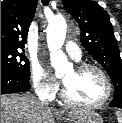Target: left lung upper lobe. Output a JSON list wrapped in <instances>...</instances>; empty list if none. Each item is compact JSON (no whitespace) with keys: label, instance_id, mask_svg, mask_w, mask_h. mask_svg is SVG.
<instances>
[{"label":"left lung upper lobe","instance_id":"left-lung-upper-lobe-1","mask_svg":"<svg viewBox=\"0 0 122 123\" xmlns=\"http://www.w3.org/2000/svg\"><path fill=\"white\" fill-rule=\"evenodd\" d=\"M78 22L83 47L107 71L115 88L114 98L122 97V60L108 13L91 0H62Z\"/></svg>","mask_w":122,"mask_h":123}]
</instances>
